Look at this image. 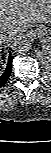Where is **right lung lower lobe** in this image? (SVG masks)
Instances as JSON below:
<instances>
[{
  "instance_id": "obj_1",
  "label": "right lung lower lobe",
  "mask_w": 51,
  "mask_h": 153,
  "mask_svg": "<svg viewBox=\"0 0 51 153\" xmlns=\"http://www.w3.org/2000/svg\"><path fill=\"white\" fill-rule=\"evenodd\" d=\"M11 71H12V58H11V54H9V60H8L7 67L4 73L0 76V87L3 86L7 82L11 74Z\"/></svg>"
}]
</instances>
